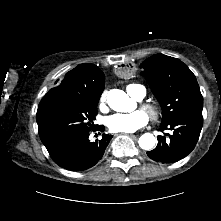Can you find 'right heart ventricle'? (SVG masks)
I'll use <instances>...</instances> for the list:
<instances>
[{"instance_id":"obj_1","label":"right heart ventricle","mask_w":221,"mask_h":221,"mask_svg":"<svg viewBox=\"0 0 221 221\" xmlns=\"http://www.w3.org/2000/svg\"><path fill=\"white\" fill-rule=\"evenodd\" d=\"M133 84H130V85H128L127 86V90H128V92H129V88L132 86ZM130 93V92H129ZM131 94V93H130ZM131 96H133L132 94H131Z\"/></svg>"}]
</instances>
